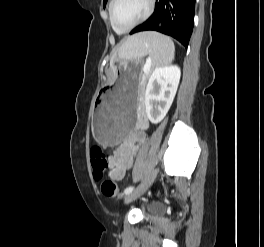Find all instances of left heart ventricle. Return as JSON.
<instances>
[{"label": "left heart ventricle", "instance_id": "obj_1", "mask_svg": "<svg viewBox=\"0 0 264 247\" xmlns=\"http://www.w3.org/2000/svg\"><path fill=\"white\" fill-rule=\"evenodd\" d=\"M148 0H118L115 8V20L121 27L138 21L147 11Z\"/></svg>", "mask_w": 264, "mask_h": 247}]
</instances>
